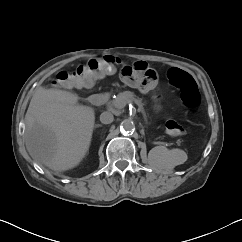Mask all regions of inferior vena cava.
Returning <instances> with one entry per match:
<instances>
[{"mask_svg": "<svg viewBox=\"0 0 242 242\" xmlns=\"http://www.w3.org/2000/svg\"><path fill=\"white\" fill-rule=\"evenodd\" d=\"M114 120V116L111 112L105 111L100 115V121L103 124H110Z\"/></svg>", "mask_w": 242, "mask_h": 242, "instance_id": "obj_1", "label": "inferior vena cava"}]
</instances>
